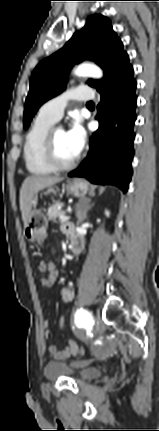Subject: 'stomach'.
<instances>
[{
    "label": "stomach",
    "instance_id": "obj_1",
    "mask_svg": "<svg viewBox=\"0 0 159 431\" xmlns=\"http://www.w3.org/2000/svg\"><path fill=\"white\" fill-rule=\"evenodd\" d=\"M66 191L76 197H84L88 192V185L81 179L68 180L64 185ZM52 191V189H50ZM37 197L32 200L30 217L24 225L23 234L32 243L41 244L46 238L48 222L42 211L37 210Z\"/></svg>",
    "mask_w": 159,
    "mask_h": 431
}]
</instances>
